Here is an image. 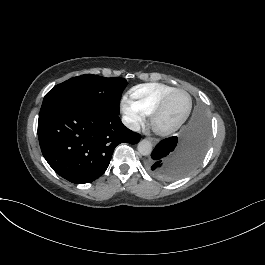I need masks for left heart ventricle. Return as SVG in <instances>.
<instances>
[{
  "label": "left heart ventricle",
  "mask_w": 265,
  "mask_h": 265,
  "mask_svg": "<svg viewBox=\"0 0 265 265\" xmlns=\"http://www.w3.org/2000/svg\"><path fill=\"white\" fill-rule=\"evenodd\" d=\"M188 98L184 93H177L173 95L167 102L162 116L161 122L163 124H172L180 119L186 111Z\"/></svg>",
  "instance_id": "left-heart-ventricle-1"
}]
</instances>
